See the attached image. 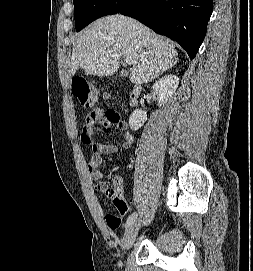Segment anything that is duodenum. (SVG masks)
Returning a JSON list of instances; mask_svg holds the SVG:
<instances>
[{
	"mask_svg": "<svg viewBox=\"0 0 253 271\" xmlns=\"http://www.w3.org/2000/svg\"><path fill=\"white\" fill-rule=\"evenodd\" d=\"M139 94H140V86L135 85L130 89L128 95H129V100H130L131 105L136 104Z\"/></svg>",
	"mask_w": 253,
	"mask_h": 271,
	"instance_id": "1",
	"label": "duodenum"
}]
</instances>
